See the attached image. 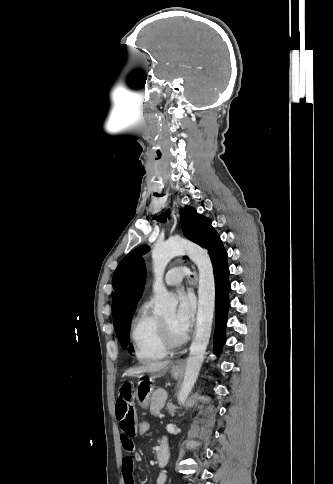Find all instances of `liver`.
<instances>
[{
	"label": "liver",
	"mask_w": 333,
	"mask_h": 484,
	"mask_svg": "<svg viewBox=\"0 0 333 484\" xmlns=\"http://www.w3.org/2000/svg\"><path fill=\"white\" fill-rule=\"evenodd\" d=\"M171 365V361H163V362H152L145 366H140L134 369H130L124 373L123 376H134L143 373H163L168 370L169 366Z\"/></svg>",
	"instance_id": "liver-1"
}]
</instances>
